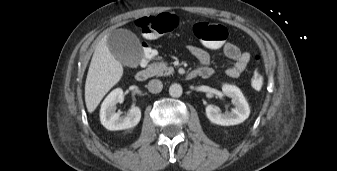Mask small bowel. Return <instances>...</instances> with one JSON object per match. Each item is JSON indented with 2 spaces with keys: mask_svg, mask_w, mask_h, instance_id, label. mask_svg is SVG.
<instances>
[{
  "mask_svg": "<svg viewBox=\"0 0 337 171\" xmlns=\"http://www.w3.org/2000/svg\"><path fill=\"white\" fill-rule=\"evenodd\" d=\"M220 49L228 59L233 61V65L226 70L227 76L238 78L249 64L251 59L250 54L241 51L237 45L231 42L225 43ZM188 51L201 64L200 69L210 70V75L207 77L209 78L213 74V69L210 67L211 57L209 52L206 49L195 45L189 46Z\"/></svg>",
  "mask_w": 337,
  "mask_h": 171,
  "instance_id": "c3829d8e",
  "label": "small bowel"
}]
</instances>
